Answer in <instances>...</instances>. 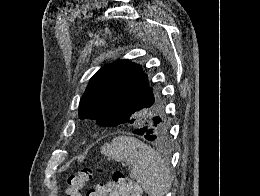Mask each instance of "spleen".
Instances as JSON below:
<instances>
[{
  "instance_id": "3e777b00",
  "label": "spleen",
  "mask_w": 260,
  "mask_h": 196,
  "mask_svg": "<svg viewBox=\"0 0 260 196\" xmlns=\"http://www.w3.org/2000/svg\"><path fill=\"white\" fill-rule=\"evenodd\" d=\"M101 154L130 166V178L142 186L148 196H165L171 186L169 164L159 152L132 136H117L106 142Z\"/></svg>"
}]
</instances>
